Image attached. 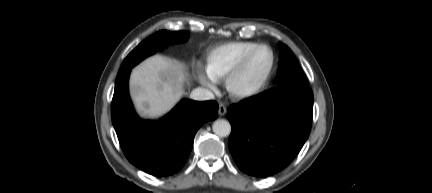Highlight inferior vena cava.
Returning a JSON list of instances; mask_svg holds the SVG:
<instances>
[{"instance_id":"1","label":"inferior vena cava","mask_w":432,"mask_h":193,"mask_svg":"<svg viewBox=\"0 0 432 193\" xmlns=\"http://www.w3.org/2000/svg\"><path fill=\"white\" fill-rule=\"evenodd\" d=\"M190 98L196 101H205L214 99V94L205 88L198 87L192 90Z\"/></svg>"}]
</instances>
